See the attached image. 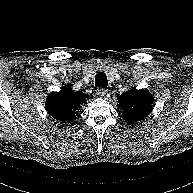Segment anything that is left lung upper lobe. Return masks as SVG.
<instances>
[{"label":"left lung upper lobe","instance_id":"1","mask_svg":"<svg viewBox=\"0 0 193 193\" xmlns=\"http://www.w3.org/2000/svg\"><path fill=\"white\" fill-rule=\"evenodd\" d=\"M117 106L128 123L144 119L153 110L154 97L148 89L131 88L117 97Z\"/></svg>","mask_w":193,"mask_h":193}]
</instances>
